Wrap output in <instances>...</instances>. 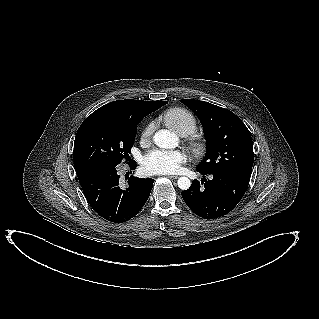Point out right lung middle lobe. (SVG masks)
Returning <instances> with one entry per match:
<instances>
[{"mask_svg":"<svg viewBox=\"0 0 319 319\" xmlns=\"http://www.w3.org/2000/svg\"><path fill=\"white\" fill-rule=\"evenodd\" d=\"M137 124L116 115L86 118L74 141L77 176L95 168L116 167L131 151Z\"/></svg>","mask_w":319,"mask_h":319,"instance_id":"obj_1","label":"right lung middle lobe"}]
</instances>
